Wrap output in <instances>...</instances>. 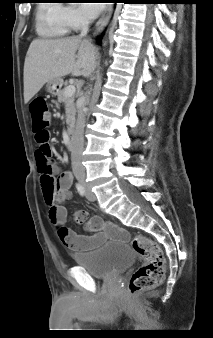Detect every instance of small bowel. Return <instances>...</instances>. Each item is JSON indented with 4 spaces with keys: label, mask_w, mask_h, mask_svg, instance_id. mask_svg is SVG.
Returning a JSON list of instances; mask_svg holds the SVG:
<instances>
[{
    "label": "small bowel",
    "mask_w": 213,
    "mask_h": 338,
    "mask_svg": "<svg viewBox=\"0 0 213 338\" xmlns=\"http://www.w3.org/2000/svg\"><path fill=\"white\" fill-rule=\"evenodd\" d=\"M39 148L48 152L53 156V151L49 144L39 145ZM58 170V190L61 194L60 201L64 202L71 199L72 194L70 192L72 175L68 171H62L58 166L55 167ZM56 223L61 226L60 240L61 242L73 252H87L95 248V246L107 238L123 240L127 238V234L124 229L115 227L111 223L104 225L103 220L100 217H93L89 220L88 213L84 210H76L74 212L75 219L80 223H87L88 229L92 232V235H80L72 230L64 228L67 220V211L62 203L56 205ZM92 222L102 223L104 226L99 229H91Z\"/></svg>",
    "instance_id": "obj_1"
}]
</instances>
